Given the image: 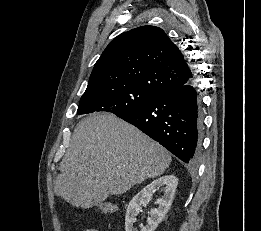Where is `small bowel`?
<instances>
[{"label": "small bowel", "mask_w": 261, "mask_h": 231, "mask_svg": "<svg viewBox=\"0 0 261 231\" xmlns=\"http://www.w3.org/2000/svg\"><path fill=\"white\" fill-rule=\"evenodd\" d=\"M83 231H99V229L88 227V228L83 229Z\"/></svg>", "instance_id": "obj_1"}]
</instances>
